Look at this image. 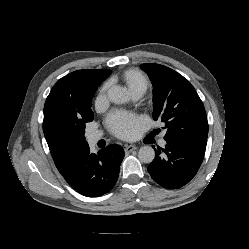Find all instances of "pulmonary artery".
<instances>
[{
  "mask_svg": "<svg viewBox=\"0 0 249 249\" xmlns=\"http://www.w3.org/2000/svg\"><path fill=\"white\" fill-rule=\"evenodd\" d=\"M132 96H133V98L135 100H137V99H139L142 96V94L135 93ZM101 137H102V133L101 132H98V131L91 132V133H89L87 135V140H88V143L90 145H94L95 143H97L101 139ZM159 144H160L161 147H165L166 144H167V142H166V140L164 138H161L160 141H159Z\"/></svg>",
  "mask_w": 249,
  "mask_h": 249,
  "instance_id": "e3ab8cb5",
  "label": "pulmonary artery"
}]
</instances>
